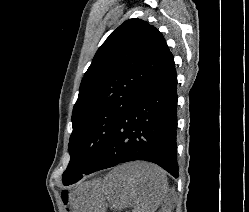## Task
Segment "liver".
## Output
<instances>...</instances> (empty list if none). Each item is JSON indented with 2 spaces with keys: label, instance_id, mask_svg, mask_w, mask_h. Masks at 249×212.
I'll use <instances>...</instances> for the list:
<instances>
[{
  "label": "liver",
  "instance_id": "liver-1",
  "mask_svg": "<svg viewBox=\"0 0 249 212\" xmlns=\"http://www.w3.org/2000/svg\"><path fill=\"white\" fill-rule=\"evenodd\" d=\"M104 206L123 210L134 202L132 212H156L166 192L164 170L148 162H127L113 168L104 180H98Z\"/></svg>",
  "mask_w": 249,
  "mask_h": 212
}]
</instances>
